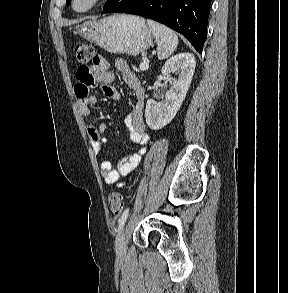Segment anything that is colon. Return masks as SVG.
<instances>
[{
  "mask_svg": "<svg viewBox=\"0 0 288 293\" xmlns=\"http://www.w3.org/2000/svg\"><path fill=\"white\" fill-rule=\"evenodd\" d=\"M75 54L80 65L89 67V64L94 61L96 54L91 45L86 42L78 41L74 45ZM109 208L112 213L118 215L124 207L123 196L119 192H112L108 198Z\"/></svg>",
  "mask_w": 288,
  "mask_h": 293,
  "instance_id": "1",
  "label": "colon"
}]
</instances>
